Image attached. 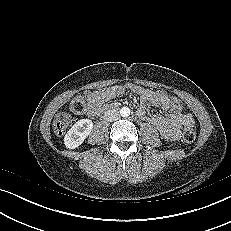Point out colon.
I'll list each match as a JSON object with an SVG mask.
<instances>
[{"mask_svg":"<svg viewBox=\"0 0 231 231\" xmlns=\"http://www.w3.org/2000/svg\"><path fill=\"white\" fill-rule=\"evenodd\" d=\"M171 106L176 110L183 107L182 101L177 97L170 98ZM86 103L83 97L77 96L70 103V110L76 114H83L86 111ZM70 115L67 112H61L54 118L53 129L56 135L62 136L69 126ZM182 138L186 142H192L196 138V130L194 125H186L183 128Z\"/></svg>","mask_w":231,"mask_h":231,"instance_id":"5ec220e1","label":"colon"}]
</instances>
